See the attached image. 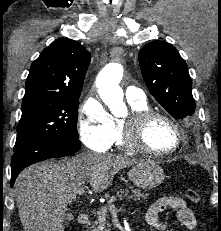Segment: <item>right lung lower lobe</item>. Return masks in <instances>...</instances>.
Here are the masks:
<instances>
[{"label":"right lung lower lobe","mask_w":221,"mask_h":231,"mask_svg":"<svg viewBox=\"0 0 221 231\" xmlns=\"http://www.w3.org/2000/svg\"><path fill=\"white\" fill-rule=\"evenodd\" d=\"M81 148V142L67 139H43L34 141L14 151L11 162V181L13 186L18 174L27 166L50 158L71 155Z\"/></svg>","instance_id":"1"}]
</instances>
